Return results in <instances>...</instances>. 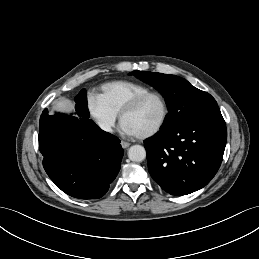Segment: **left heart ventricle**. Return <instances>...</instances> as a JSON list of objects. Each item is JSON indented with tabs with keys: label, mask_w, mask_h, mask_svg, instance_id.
Returning a JSON list of instances; mask_svg holds the SVG:
<instances>
[{
	"label": "left heart ventricle",
	"mask_w": 259,
	"mask_h": 259,
	"mask_svg": "<svg viewBox=\"0 0 259 259\" xmlns=\"http://www.w3.org/2000/svg\"><path fill=\"white\" fill-rule=\"evenodd\" d=\"M163 106L156 97L146 99L136 110L127 114L123 121L128 123L137 134L153 129L161 120Z\"/></svg>",
	"instance_id": "left-heart-ventricle-1"
}]
</instances>
